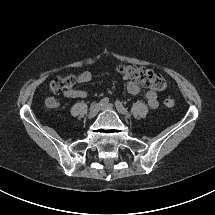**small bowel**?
Listing matches in <instances>:
<instances>
[{
    "mask_svg": "<svg viewBox=\"0 0 215 215\" xmlns=\"http://www.w3.org/2000/svg\"><path fill=\"white\" fill-rule=\"evenodd\" d=\"M92 80V74L89 71H83L77 76V81L81 84L83 83H88ZM127 91L130 94L136 95L140 92V87L139 85L134 82V81H129L127 83ZM65 97L67 98H85L87 96V92L85 90L77 89V88H72L68 89L64 92ZM145 99L148 103V106L150 108H157L159 103H158V98H157V93L153 90H149L145 94Z\"/></svg>",
    "mask_w": 215,
    "mask_h": 215,
    "instance_id": "c3829d8e",
    "label": "small bowel"
}]
</instances>
